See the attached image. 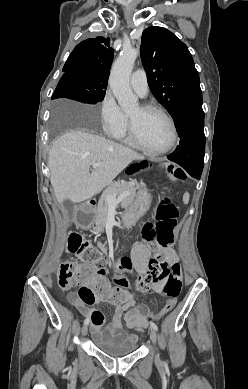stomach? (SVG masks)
Returning a JSON list of instances; mask_svg holds the SVG:
<instances>
[{
	"label": "stomach",
	"mask_w": 248,
	"mask_h": 389,
	"mask_svg": "<svg viewBox=\"0 0 248 389\" xmlns=\"http://www.w3.org/2000/svg\"><path fill=\"white\" fill-rule=\"evenodd\" d=\"M155 163H147L143 167L145 171L148 169H151L152 167H155ZM162 170H167V171H173L175 169V166L173 164H167L161 166ZM137 189L140 191L137 195V198L135 200L134 204H129L127 208L123 209L124 213H119L117 215V218L120 221V224L123 225L121 227V230L123 232H127L129 230L128 226H133L134 225V220L137 218H141L143 211H145L151 202V194L148 192L146 188L142 184H139L137 186ZM84 218L86 220H92L94 218V215L92 213H86L84 215Z\"/></svg>",
	"instance_id": "stomach-1"
}]
</instances>
